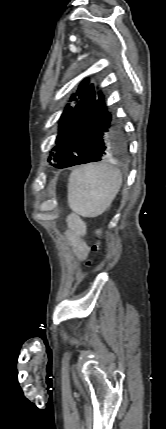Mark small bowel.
<instances>
[{
	"label": "small bowel",
	"instance_id": "small-bowel-1",
	"mask_svg": "<svg viewBox=\"0 0 166 429\" xmlns=\"http://www.w3.org/2000/svg\"><path fill=\"white\" fill-rule=\"evenodd\" d=\"M68 233L67 237L71 245L73 246V252L75 256L82 260L88 255L89 249L86 245L83 237L86 235L87 228L85 223L75 214H70L67 217Z\"/></svg>",
	"mask_w": 166,
	"mask_h": 429
}]
</instances>
